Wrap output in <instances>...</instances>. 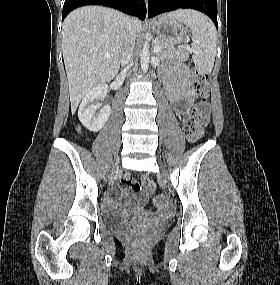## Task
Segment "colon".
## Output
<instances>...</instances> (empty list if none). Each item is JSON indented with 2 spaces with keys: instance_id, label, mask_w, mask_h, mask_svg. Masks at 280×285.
<instances>
[{
  "instance_id": "5ec220e1",
  "label": "colon",
  "mask_w": 280,
  "mask_h": 285,
  "mask_svg": "<svg viewBox=\"0 0 280 285\" xmlns=\"http://www.w3.org/2000/svg\"><path fill=\"white\" fill-rule=\"evenodd\" d=\"M192 83L199 104L205 103L209 97V78L205 72L194 69L192 71ZM205 120H203L196 108L187 111L183 117V131L190 141L200 139L204 134ZM121 181L135 191H143L152 194L154 206H165L169 197L167 194H154L156 186L149 177H143L141 181L136 180L131 174L125 173Z\"/></svg>"
}]
</instances>
